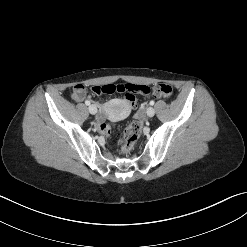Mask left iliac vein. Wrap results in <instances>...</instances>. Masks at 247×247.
Returning <instances> with one entry per match:
<instances>
[{
  "mask_svg": "<svg viewBox=\"0 0 247 247\" xmlns=\"http://www.w3.org/2000/svg\"><path fill=\"white\" fill-rule=\"evenodd\" d=\"M146 113L149 117H153L155 114V110L153 107H148Z\"/></svg>",
  "mask_w": 247,
  "mask_h": 247,
  "instance_id": "1",
  "label": "left iliac vein"
}]
</instances>
